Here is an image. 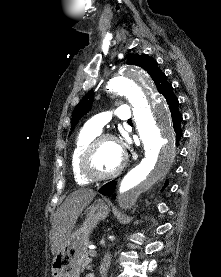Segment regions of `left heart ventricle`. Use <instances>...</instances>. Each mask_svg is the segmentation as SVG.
<instances>
[{"label":"left heart ventricle","instance_id":"left-heart-ventricle-1","mask_svg":"<svg viewBox=\"0 0 221 277\" xmlns=\"http://www.w3.org/2000/svg\"><path fill=\"white\" fill-rule=\"evenodd\" d=\"M122 155L119 144L113 141H105L95 152L91 167L98 174L110 173L118 167Z\"/></svg>","mask_w":221,"mask_h":277}]
</instances>
